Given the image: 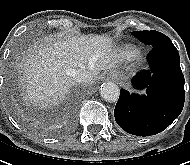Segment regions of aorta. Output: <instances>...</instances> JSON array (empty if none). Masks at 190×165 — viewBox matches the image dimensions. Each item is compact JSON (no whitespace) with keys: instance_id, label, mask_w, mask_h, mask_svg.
<instances>
[{"instance_id":"aorta-1","label":"aorta","mask_w":190,"mask_h":165,"mask_svg":"<svg viewBox=\"0 0 190 165\" xmlns=\"http://www.w3.org/2000/svg\"><path fill=\"white\" fill-rule=\"evenodd\" d=\"M100 95L104 100L114 103L119 99L120 91L115 83L106 82L101 85Z\"/></svg>"}]
</instances>
